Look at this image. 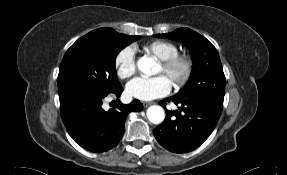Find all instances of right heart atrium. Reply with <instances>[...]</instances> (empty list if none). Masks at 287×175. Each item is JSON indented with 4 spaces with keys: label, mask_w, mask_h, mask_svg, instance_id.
Instances as JSON below:
<instances>
[{
    "label": "right heart atrium",
    "mask_w": 287,
    "mask_h": 175,
    "mask_svg": "<svg viewBox=\"0 0 287 175\" xmlns=\"http://www.w3.org/2000/svg\"><path fill=\"white\" fill-rule=\"evenodd\" d=\"M114 66L121 79L132 77L137 69L135 49L132 46H126L119 50L114 59Z\"/></svg>",
    "instance_id": "obj_1"
}]
</instances>
